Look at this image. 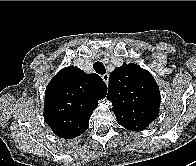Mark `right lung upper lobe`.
<instances>
[{
  "label": "right lung upper lobe",
  "mask_w": 196,
  "mask_h": 166,
  "mask_svg": "<svg viewBox=\"0 0 196 166\" xmlns=\"http://www.w3.org/2000/svg\"><path fill=\"white\" fill-rule=\"evenodd\" d=\"M106 94L107 86L99 75L65 67L46 87L44 119L58 137L75 138L87 130L98 100Z\"/></svg>",
  "instance_id": "right-lung-upper-lobe-1"
}]
</instances>
